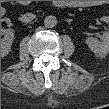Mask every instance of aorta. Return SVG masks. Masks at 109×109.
Segmentation results:
<instances>
[{"instance_id":"1","label":"aorta","mask_w":109,"mask_h":109,"mask_svg":"<svg viewBox=\"0 0 109 109\" xmlns=\"http://www.w3.org/2000/svg\"><path fill=\"white\" fill-rule=\"evenodd\" d=\"M57 24V19L55 16L49 15L44 19V25L46 28H53Z\"/></svg>"}]
</instances>
